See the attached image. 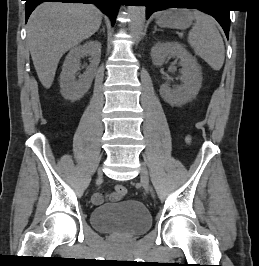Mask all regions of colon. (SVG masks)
I'll return each mask as SVG.
<instances>
[{"mask_svg": "<svg viewBox=\"0 0 259 266\" xmlns=\"http://www.w3.org/2000/svg\"><path fill=\"white\" fill-rule=\"evenodd\" d=\"M187 142H190V137H187ZM115 193L118 197L122 198L127 194V188L124 185H117L115 187Z\"/></svg>", "mask_w": 259, "mask_h": 266, "instance_id": "colon-1", "label": "colon"}]
</instances>
